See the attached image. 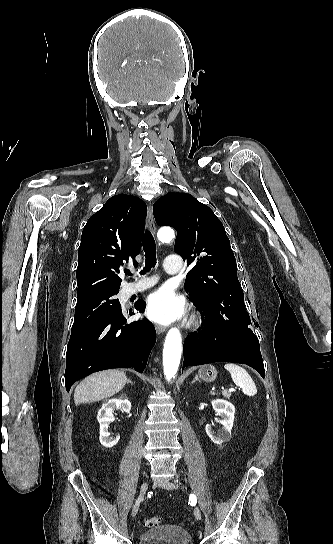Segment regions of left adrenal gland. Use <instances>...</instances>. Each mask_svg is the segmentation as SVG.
Returning <instances> with one entry per match:
<instances>
[{
	"label": "left adrenal gland",
	"mask_w": 333,
	"mask_h": 544,
	"mask_svg": "<svg viewBox=\"0 0 333 544\" xmlns=\"http://www.w3.org/2000/svg\"><path fill=\"white\" fill-rule=\"evenodd\" d=\"M196 381H199V382H200L198 376H195V379L192 381V384H193L194 382H196Z\"/></svg>",
	"instance_id": "left-adrenal-gland-1"
}]
</instances>
